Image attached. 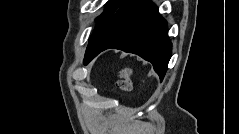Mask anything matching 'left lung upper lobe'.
Here are the masks:
<instances>
[{
    "instance_id": "obj_1",
    "label": "left lung upper lobe",
    "mask_w": 239,
    "mask_h": 134,
    "mask_svg": "<svg viewBox=\"0 0 239 134\" xmlns=\"http://www.w3.org/2000/svg\"><path fill=\"white\" fill-rule=\"evenodd\" d=\"M124 1L125 0H110L108 2V5H107L104 13L97 18V26H96V28H95V30H94V32H93V34H92V36L90 38L95 36L97 33H99L105 27V25L111 19L113 14L122 5V3ZM85 60H86V58L84 59V61Z\"/></svg>"
}]
</instances>
